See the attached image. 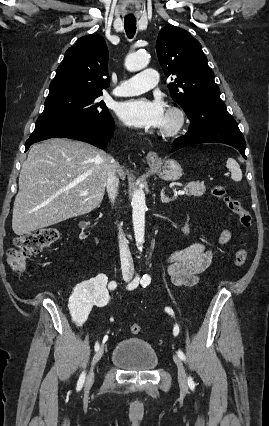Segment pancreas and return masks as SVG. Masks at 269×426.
Masks as SVG:
<instances>
[{
  "mask_svg": "<svg viewBox=\"0 0 269 426\" xmlns=\"http://www.w3.org/2000/svg\"><path fill=\"white\" fill-rule=\"evenodd\" d=\"M185 194L188 196H202L206 191V186L200 182H190L184 188Z\"/></svg>",
  "mask_w": 269,
  "mask_h": 426,
  "instance_id": "cf45deb5",
  "label": "pancreas"
}]
</instances>
